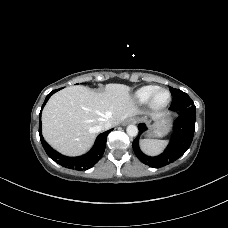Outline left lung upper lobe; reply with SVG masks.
<instances>
[{
  "label": "left lung upper lobe",
  "mask_w": 228,
  "mask_h": 228,
  "mask_svg": "<svg viewBox=\"0 0 228 228\" xmlns=\"http://www.w3.org/2000/svg\"><path fill=\"white\" fill-rule=\"evenodd\" d=\"M171 94L174 96V98H183L186 97L187 94L183 91H181L180 89H175L172 87H169Z\"/></svg>",
  "instance_id": "obj_1"
}]
</instances>
